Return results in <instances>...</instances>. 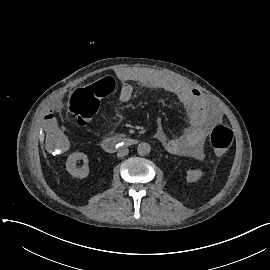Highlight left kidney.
I'll list each match as a JSON object with an SVG mask.
<instances>
[{
    "instance_id": "obj_1",
    "label": "left kidney",
    "mask_w": 270,
    "mask_h": 270,
    "mask_svg": "<svg viewBox=\"0 0 270 270\" xmlns=\"http://www.w3.org/2000/svg\"><path fill=\"white\" fill-rule=\"evenodd\" d=\"M203 175V172L201 170H188L187 171V182H196L198 179H200Z\"/></svg>"
}]
</instances>
